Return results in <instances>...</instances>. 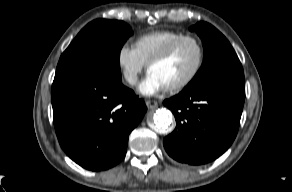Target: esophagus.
Masks as SVG:
<instances>
[{
  "instance_id": "obj_1",
  "label": "esophagus",
  "mask_w": 292,
  "mask_h": 192,
  "mask_svg": "<svg viewBox=\"0 0 292 192\" xmlns=\"http://www.w3.org/2000/svg\"><path fill=\"white\" fill-rule=\"evenodd\" d=\"M145 103L149 109H156L158 107V103L156 101L147 100Z\"/></svg>"
}]
</instances>
